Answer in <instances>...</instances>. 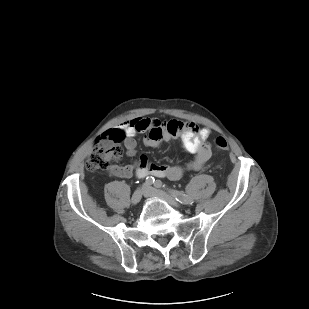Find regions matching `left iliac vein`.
<instances>
[{
  "instance_id": "obj_1",
  "label": "left iliac vein",
  "mask_w": 309,
  "mask_h": 309,
  "mask_svg": "<svg viewBox=\"0 0 309 309\" xmlns=\"http://www.w3.org/2000/svg\"><path fill=\"white\" fill-rule=\"evenodd\" d=\"M145 196L147 197H158L162 198L166 202H168L171 206L173 207H180V204L168 193L162 191V190H157L151 186L146 185V191L144 193Z\"/></svg>"
}]
</instances>
